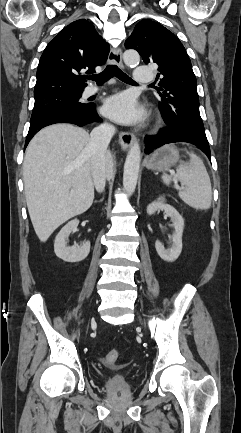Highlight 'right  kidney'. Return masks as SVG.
<instances>
[{
	"label": "right kidney",
	"instance_id": "obj_1",
	"mask_svg": "<svg viewBox=\"0 0 241 433\" xmlns=\"http://www.w3.org/2000/svg\"><path fill=\"white\" fill-rule=\"evenodd\" d=\"M79 224L78 219L68 222L55 238L54 252L56 256L66 262H80L84 260L90 252V242L86 241L82 246H67V238Z\"/></svg>",
	"mask_w": 241,
	"mask_h": 433
}]
</instances>
